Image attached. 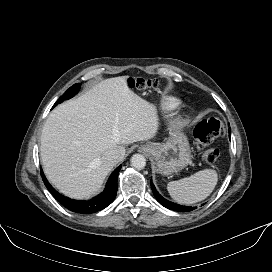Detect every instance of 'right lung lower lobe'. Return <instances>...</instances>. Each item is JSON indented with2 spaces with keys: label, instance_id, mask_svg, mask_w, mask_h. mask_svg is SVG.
<instances>
[{
  "label": "right lung lower lobe",
  "instance_id": "right-lung-lower-lobe-1",
  "mask_svg": "<svg viewBox=\"0 0 272 272\" xmlns=\"http://www.w3.org/2000/svg\"><path fill=\"white\" fill-rule=\"evenodd\" d=\"M121 169V165L118 166L113 173L111 174L109 181L106 184V187L104 191L92 198L91 200H74L68 197H65L61 194H59L47 181L46 177L44 176V173L41 169V176L44 181L45 186L49 190V192L55 197L56 200H58L64 207L69 209L70 211L77 212V213H83V214H89V213H95L98 212L104 208H106L109 204H111L117 194V180H118V174Z\"/></svg>",
  "mask_w": 272,
  "mask_h": 272
}]
</instances>
